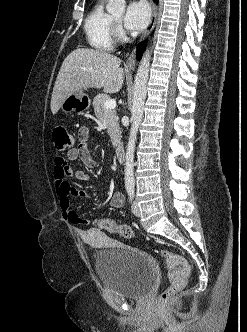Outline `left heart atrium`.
Instances as JSON below:
<instances>
[{
    "mask_svg": "<svg viewBox=\"0 0 247 332\" xmlns=\"http://www.w3.org/2000/svg\"><path fill=\"white\" fill-rule=\"evenodd\" d=\"M149 19L150 8L144 0H140L128 5L123 24L127 30L137 32L147 26Z\"/></svg>",
    "mask_w": 247,
    "mask_h": 332,
    "instance_id": "39dd6f15",
    "label": "left heart atrium"
}]
</instances>
